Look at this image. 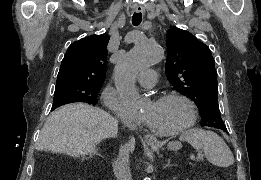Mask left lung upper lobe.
Wrapping results in <instances>:
<instances>
[{
  "label": "left lung upper lobe",
  "instance_id": "5c2ea615",
  "mask_svg": "<svg viewBox=\"0 0 261 180\" xmlns=\"http://www.w3.org/2000/svg\"><path fill=\"white\" fill-rule=\"evenodd\" d=\"M166 75L179 93L193 100L201 126L226 130L218 105L217 72L209 48L188 31L167 32Z\"/></svg>",
  "mask_w": 261,
  "mask_h": 180
}]
</instances>
